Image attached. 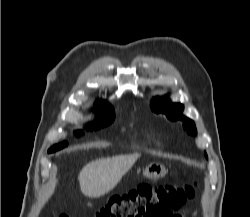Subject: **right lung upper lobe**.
I'll list each match as a JSON object with an SVG mask.
<instances>
[{
  "mask_svg": "<svg viewBox=\"0 0 250 217\" xmlns=\"http://www.w3.org/2000/svg\"><path fill=\"white\" fill-rule=\"evenodd\" d=\"M95 112L99 115V117L106 115L108 113L114 112L113 107L104 100H99L95 104Z\"/></svg>",
  "mask_w": 250,
  "mask_h": 217,
  "instance_id": "obj_1",
  "label": "right lung upper lobe"
}]
</instances>
